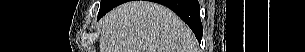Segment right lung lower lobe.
I'll use <instances>...</instances> for the list:
<instances>
[{
  "label": "right lung lower lobe",
  "mask_w": 305,
  "mask_h": 52,
  "mask_svg": "<svg viewBox=\"0 0 305 52\" xmlns=\"http://www.w3.org/2000/svg\"><path fill=\"white\" fill-rule=\"evenodd\" d=\"M109 2L99 10L98 19L108 11L127 0H108ZM173 10L194 32L198 41L202 38V24L200 21V6L198 0H153Z\"/></svg>",
  "instance_id": "right-lung-lower-lobe-1"
}]
</instances>
